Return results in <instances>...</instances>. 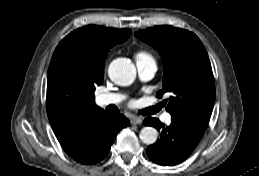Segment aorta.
Wrapping results in <instances>:
<instances>
[{
	"mask_svg": "<svg viewBox=\"0 0 259 176\" xmlns=\"http://www.w3.org/2000/svg\"><path fill=\"white\" fill-rule=\"evenodd\" d=\"M108 75L110 79L118 85H130L135 80L136 67L127 58H117L110 63ZM157 138L158 131L153 127H144L140 131V139L147 145L154 144Z\"/></svg>",
	"mask_w": 259,
	"mask_h": 176,
	"instance_id": "aorta-1",
	"label": "aorta"
}]
</instances>
